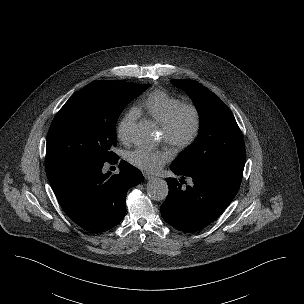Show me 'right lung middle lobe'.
Segmentation results:
<instances>
[{
  "label": "right lung middle lobe",
  "instance_id": "dd1d6c3e",
  "mask_svg": "<svg viewBox=\"0 0 304 304\" xmlns=\"http://www.w3.org/2000/svg\"><path fill=\"white\" fill-rule=\"evenodd\" d=\"M148 84L95 81L75 93L47 134L46 167L70 169L111 162L117 155L115 125L123 108Z\"/></svg>",
  "mask_w": 304,
  "mask_h": 304
}]
</instances>
